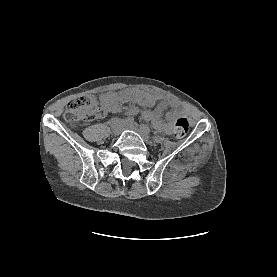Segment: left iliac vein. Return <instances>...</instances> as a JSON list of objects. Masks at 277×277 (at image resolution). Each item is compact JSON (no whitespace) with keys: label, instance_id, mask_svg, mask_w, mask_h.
Instances as JSON below:
<instances>
[{"label":"left iliac vein","instance_id":"obj_1","mask_svg":"<svg viewBox=\"0 0 277 277\" xmlns=\"http://www.w3.org/2000/svg\"><path fill=\"white\" fill-rule=\"evenodd\" d=\"M125 128L129 129V130H132V131H135L136 133H138L142 139L145 141L146 144H150V140H149V137H148V134H146L145 132H143L141 129H139L136 125L134 124H129V123H126L125 124Z\"/></svg>","mask_w":277,"mask_h":277}]
</instances>
